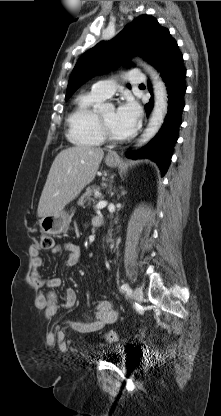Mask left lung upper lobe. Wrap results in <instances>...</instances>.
<instances>
[{
  "mask_svg": "<svg viewBox=\"0 0 221 416\" xmlns=\"http://www.w3.org/2000/svg\"><path fill=\"white\" fill-rule=\"evenodd\" d=\"M167 31L155 18L141 15L111 41L98 43L78 59L65 99L94 75L114 68L119 62L127 64L128 57L132 55H140L149 62Z\"/></svg>",
  "mask_w": 221,
  "mask_h": 416,
  "instance_id": "5c2ea615",
  "label": "left lung upper lobe"
}]
</instances>
